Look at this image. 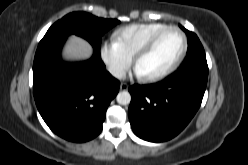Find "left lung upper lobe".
<instances>
[{"mask_svg": "<svg viewBox=\"0 0 248 165\" xmlns=\"http://www.w3.org/2000/svg\"><path fill=\"white\" fill-rule=\"evenodd\" d=\"M179 26L183 31H185V33L188 37L187 54H186L185 60H184L182 65L188 64V63H190L193 60L198 59V58H206L204 48H203L199 38L197 37V35L191 31L185 29L181 25H179Z\"/></svg>", "mask_w": 248, "mask_h": 165, "instance_id": "5c2ea615", "label": "left lung upper lobe"}]
</instances>
